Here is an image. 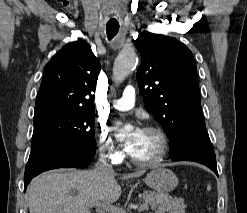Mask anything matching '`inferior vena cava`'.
Wrapping results in <instances>:
<instances>
[{"instance_id":"1","label":"inferior vena cava","mask_w":247,"mask_h":213,"mask_svg":"<svg viewBox=\"0 0 247 213\" xmlns=\"http://www.w3.org/2000/svg\"><path fill=\"white\" fill-rule=\"evenodd\" d=\"M96 170L102 172V173H113V167L112 165L109 164L108 160H107V155L105 153V148H103V150L100 153L98 162L96 164Z\"/></svg>"}]
</instances>
